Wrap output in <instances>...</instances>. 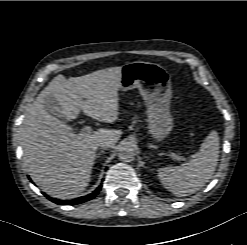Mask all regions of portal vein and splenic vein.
Wrapping results in <instances>:
<instances>
[{
	"label": "portal vein and splenic vein",
	"mask_w": 247,
	"mask_h": 245,
	"mask_svg": "<svg viewBox=\"0 0 247 245\" xmlns=\"http://www.w3.org/2000/svg\"><path fill=\"white\" fill-rule=\"evenodd\" d=\"M83 131H85V133H87V134H91V132H92V129H91V127L90 126H84L83 128ZM174 158L177 160V161H182L183 160V158L181 157V156H178V155H174Z\"/></svg>",
	"instance_id": "1"
}]
</instances>
